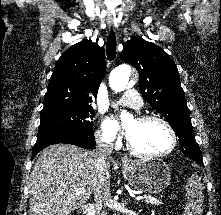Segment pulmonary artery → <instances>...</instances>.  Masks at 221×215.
I'll list each match as a JSON object with an SVG mask.
<instances>
[{"label": "pulmonary artery", "mask_w": 221, "mask_h": 215, "mask_svg": "<svg viewBox=\"0 0 221 215\" xmlns=\"http://www.w3.org/2000/svg\"><path fill=\"white\" fill-rule=\"evenodd\" d=\"M116 104L139 110L142 107L143 102L141 96L136 90L129 89L124 92Z\"/></svg>", "instance_id": "1"}]
</instances>
